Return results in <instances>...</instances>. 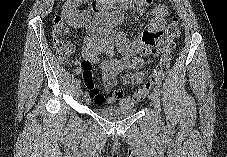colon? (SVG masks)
Segmentation results:
<instances>
[{"label": "colon", "mask_w": 227, "mask_h": 157, "mask_svg": "<svg viewBox=\"0 0 227 157\" xmlns=\"http://www.w3.org/2000/svg\"><path fill=\"white\" fill-rule=\"evenodd\" d=\"M70 30L60 16L55 17L51 29L52 43L59 60L66 62L73 54V44L66 39ZM179 21L176 17L167 24L164 34L162 35L156 53L160 55V61L151 75L150 79L134 94L124 97L120 105L124 108H130L134 104L144 100L152 87L159 84L168 74L170 68V55L174 48L175 40L179 37Z\"/></svg>", "instance_id": "colon-1"}]
</instances>
